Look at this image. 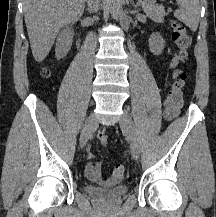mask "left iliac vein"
<instances>
[{
	"instance_id": "4c4485c4",
	"label": "left iliac vein",
	"mask_w": 216,
	"mask_h": 217,
	"mask_svg": "<svg viewBox=\"0 0 216 217\" xmlns=\"http://www.w3.org/2000/svg\"><path fill=\"white\" fill-rule=\"evenodd\" d=\"M121 129L126 133L130 140V152L132 157L137 160L140 154V143L138 134L129 113L124 111L119 120Z\"/></svg>"
}]
</instances>
